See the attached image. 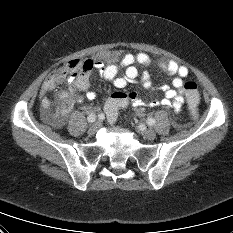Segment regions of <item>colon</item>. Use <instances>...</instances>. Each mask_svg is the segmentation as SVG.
I'll return each mask as SVG.
<instances>
[{"instance_id":"5ec220e1","label":"colon","mask_w":233,"mask_h":233,"mask_svg":"<svg viewBox=\"0 0 233 233\" xmlns=\"http://www.w3.org/2000/svg\"><path fill=\"white\" fill-rule=\"evenodd\" d=\"M93 68V62L86 59H74L63 65L59 70L50 75L47 86L42 89L44 95L53 91L58 83L66 77H80L88 74ZM188 105L193 114L197 112L199 94L197 84L187 81L183 85ZM129 102V95L125 92H114L105 105V116L109 123H113L118 113L124 109ZM43 106H49V100L44 97Z\"/></svg>"}]
</instances>
